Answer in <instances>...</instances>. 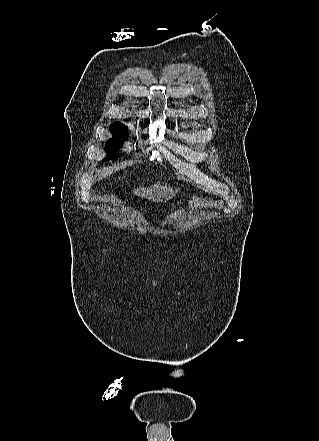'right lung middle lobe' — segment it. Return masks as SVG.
I'll list each match as a JSON object with an SVG mask.
<instances>
[{"mask_svg": "<svg viewBox=\"0 0 319 441\" xmlns=\"http://www.w3.org/2000/svg\"><path fill=\"white\" fill-rule=\"evenodd\" d=\"M110 131L115 136L106 142V151L109 154L107 159H117L121 156L117 152L127 137V127L122 123H114L110 126Z\"/></svg>", "mask_w": 319, "mask_h": 441, "instance_id": "right-lung-middle-lobe-1", "label": "right lung middle lobe"}]
</instances>
